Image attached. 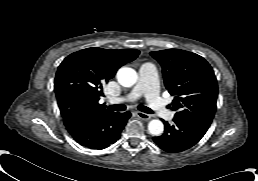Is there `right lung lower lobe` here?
Segmentation results:
<instances>
[{
    "label": "right lung lower lobe",
    "mask_w": 258,
    "mask_h": 181,
    "mask_svg": "<svg viewBox=\"0 0 258 181\" xmlns=\"http://www.w3.org/2000/svg\"><path fill=\"white\" fill-rule=\"evenodd\" d=\"M130 116L129 112H84L64 119V124L79 144L101 150L119 139Z\"/></svg>",
    "instance_id": "right-lung-lower-lobe-1"
}]
</instances>
